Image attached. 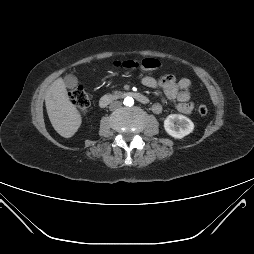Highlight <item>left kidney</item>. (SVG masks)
I'll list each match as a JSON object with an SVG mask.
<instances>
[{"mask_svg": "<svg viewBox=\"0 0 254 254\" xmlns=\"http://www.w3.org/2000/svg\"><path fill=\"white\" fill-rule=\"evenodd\" d=\"M164 128L170 136L181 139L193 131L194 124L184 115L170 114L164 121Z\"/></svg>", "mask_w": 254, "mask_h": 254, "instance_id": "obj_1", "label": "left kidney"}]
</instances>
